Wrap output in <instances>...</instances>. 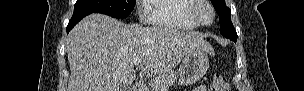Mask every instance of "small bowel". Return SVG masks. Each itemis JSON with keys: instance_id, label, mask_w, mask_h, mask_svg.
Segmentation results:
<instances>
[{"instance_id": "obj_1", "label": "small bowel", "mask_w": 304, "mask_h": 91, "mask_svg": "<svg viewBox=\"0 0 304 91\" xmlns=\"http://www.w3.org/2000/svg\"><path fill=\"white\" fill-rule=\"evenodd\" d=\"M195 91H205L204 87H198L197 89H195Z\"/></svg>"}]
</instances>
